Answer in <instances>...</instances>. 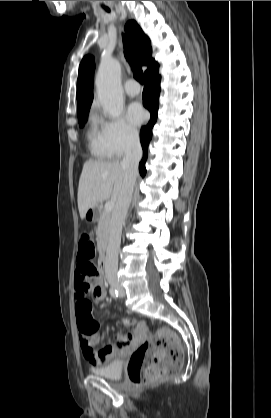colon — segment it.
I'll list each match as a JSON object with an SVG mask.
<instances>
[{
  "label": "colon",
  "instance_id": "1",
  "mask_svg": "<svg viewBox=\"0 0 271 418\" xmlns=\"http://www.w3.org/2000/svg\"><path fill=\"white\" fill-rule=\"evenodd\" d=\"M95 252L90 233L83 231L79 240L78 261L91 262ZM182 360L178 337L169 329L161 328L133 352L128 363V375L136 385L161 380L175 374Z\"/></svg>",
  "mask_w": 271,
  "mask_h": 418
}]
</instances>
